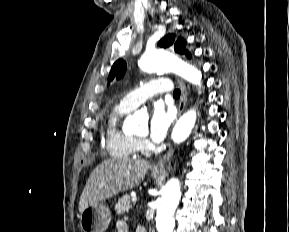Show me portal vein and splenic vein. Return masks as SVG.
Masks as SVG:
<instances>
[{"instance_id": "portal-vein-and-splenic-vein-1", "label": "portal vein and splenic vein", "mask_w": 289, "mask_h": 232, "mask_svg": "<svg viewBox=\"0 0 289 232\" xmlns=\"http://www.w3.org/2000/svg\"><path fill=\"white\" fill-rule=\"evenodd\" d=\"M132 202L135 204L137 202V197H132Z\"/></svg>"}]
</instances>
